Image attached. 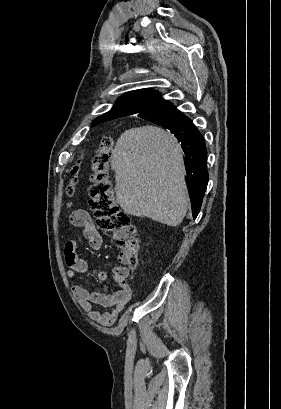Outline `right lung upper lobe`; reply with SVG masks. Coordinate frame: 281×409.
<instances>
[{
    "instance_id": "right-lung-upper-lobe-1",
    "label": "right lung upper lobe",
    "mask_w": 281,
    "mask_h": 409,
    "mask_svg": "<svg viewBox=\"0 0 281 409\" xmlns=\"http://www.w3.org/2000/svg\"><path fill=\"white\" fill-rule=\"evenodd\" d=\"M170 105L172 103L163 100L157 91L151 89L131 91L121 96L109 112L96 118L92 126L119 117L165 108Z\"/></svg>"
}]
</instances>
